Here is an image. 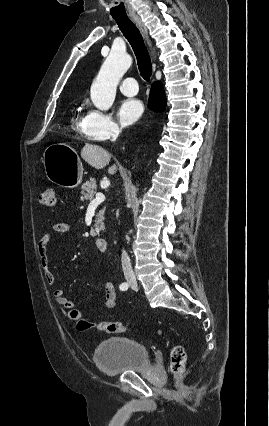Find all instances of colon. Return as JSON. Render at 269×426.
I'll return each instance as SVG.
<instances>
[{"instance_id": "colon-1", "label": "colon", "mask_w": 269, "mask_h": 426, "mask_svg": "<svg viewBox=\"0 0 269 426\" xmlns=\"http://www.w3.org/2000/svg\"><path fill=\"white\" fill-rule=\"evenodd\" d=\"M40 202L47 207H55L57 204L56 192L53 188H46L40 195ZM70 318L75 322L78 331L85 332L97 330L111 334L124 333L128 327L121 322L93 321L83 318L76 309L70 312ZM171 371L175 377L180 376L185 369L186 354L182 346L175 345L170 354Z\"/></svg>"}]
</instances>
